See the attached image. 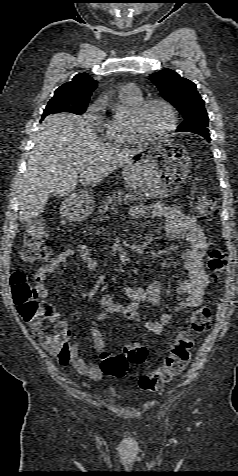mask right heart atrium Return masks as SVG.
I'll list each match as a JSON object with an SVG mask.
<instances>
[{"label":"right heart atrium","instance_id":"d8ad5b80","mask_svg":"<svg viewBox=\"0 0 238 476\" xmlns=\"http://www.w3.org/2000/svg\"><path fill=\"white\" fill-rule=\"evenodd\" d=\"M98 107H99V104H98V103H95V104L89 109L90 113L96 112V111L98 110ZM99 128H100V130L102 131V124L100 125Z\"/></svg>","mask_w":238,"mask_h":476}]
</instances>
